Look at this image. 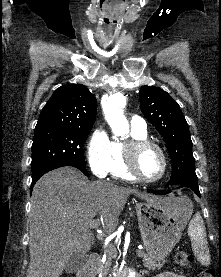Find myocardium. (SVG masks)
Masks as SVG:
<instances>
[{
	"instance_id": "f54148a6",
	"label": "myocardium",
	"mask_w": 221,
	"mask_h": 277,
	"mask_svg": "<svg viewBox=\"0 0 221 277\" xmlns=\"http://www.w3.org/2000/svg\"><path fill=\"white\" fill-rule=\"evenodd\" d=\"M148 148L156 149L162 160V171L158 177L153 179L144 177L138 168L139 156ZM125 166L134 179L143 183H156L165 176L168 168V160L164 149L158 143L149 139H133L125 144Z\"/></svg>"
}]
</instances>
